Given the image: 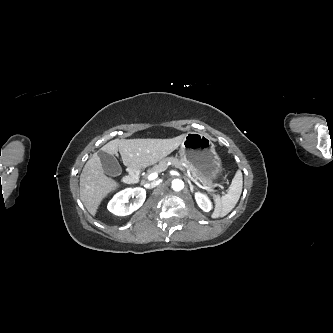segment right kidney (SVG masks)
Instances as JSON below:
<instances>
[{
    "instance_id": "obj_1",
    "label": "right kidney",
    "mask_w": 333,
    "mask_h": 333,
    "mask_svg": "<svg viewBox=\"0 0 333 333\" xmlns=\"http://www.w3.org/2000/svg\"><path fill=\"white\" fill-rule=\"evenodd\" d=\"M131 197L134 198V201L132 204L127 206L126 203ZM145 198V189L141 187L126 188L114 195L108 203V210L118 216L130 215L143 205Z\"/></svg>"
}]
</instances>
